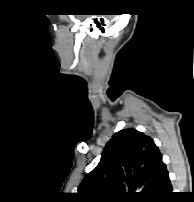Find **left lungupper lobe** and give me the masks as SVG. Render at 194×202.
I'll use <instances>...</instances> for the list:
<instances>
[{"label": "left lung upper lobe", "instance_id": "1", "mask_svg": "<svg viewBox=\"0 0 194 202\" xmlns=\"http://www.w3.org/2000/svg\"><path fill=\"white\" fill-rule=\"evenodd\" d=\"M164 168L149 136L123 129L107 143L98 166L79 185L78 195L85 202L151 200Z\"/></svg>", "mask_w": 194, "mask_h": 202}]
</instances>
